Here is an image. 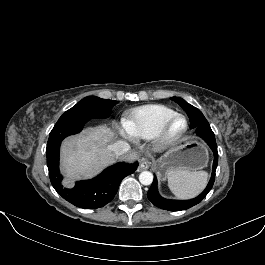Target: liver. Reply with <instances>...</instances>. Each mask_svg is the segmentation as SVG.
Returning <instances> with one entry per match:
<instances>
[{"instance_id": "obj_1", "label": "liver", "mask_w": 265, "mask_h": 265, "mask_svg": "<svg viewBox=\"0 0 265 265\" xmlns=\"http://www.w3.org/2000/svg\"><path fill=\"white\" fill-rule=\"evenodd\" d=\"M114 132L106 125L86 128L81 134L64 140L61 146V167L66 176L64 186L89 178L114 160L106 149ZM131 157H135L132 154Z\"/></svg>"}]
</instances>
